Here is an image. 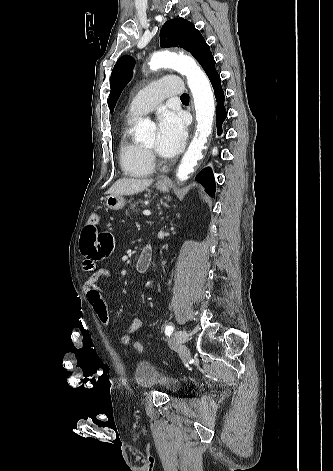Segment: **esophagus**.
Here are the masks:
<instances>
[{
  "mask_svg": "<svg viewBox=\"0 0 333 471\" xmlns=\"http://www.w3.org/2000/svg\"><path fill=\"white\" fill-rule=\"evenodd\" d=\"M160 182H167L168 181V178L167 177H163L159 180Z\"/></svg>",
  "mask_w": 333,
  "mask_h": 471,
  "instance_id": "34e87169",
  "label": "esophagus"
}]
</instances>
